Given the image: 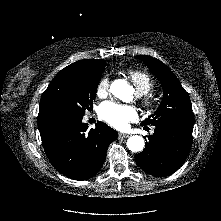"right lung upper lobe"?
Wrapping results in <instances>:
<instances>
[{"mask_svg":"<svg viewBox=\"0 0 221 221\" xmlns=\"http://www.w3.org/2000/svg\"><path fill=\"white\" fill-rule=\"evenodd\" d=\"M106 65L105 60L86 59L83 61H77L69 66L79 67L91 73H102ZM60 122L59 119L48 115L40 106L38 115V127L39 130Z\"/></svg>","mask_w":221,"mask_h":221,"instance_id":"right-lung-upper-lobe-1","label":"right lung upper lobe"}]
</instances>
